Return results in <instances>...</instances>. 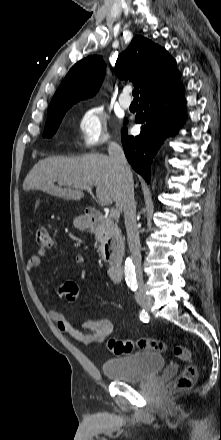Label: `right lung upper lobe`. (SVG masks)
<instances>
[{
	"label": "right lung upper lobe",
	"mask_w": 221,
	"mask_h": 440,
	"mask_svg": "<svg viewBox=\"0 0 221 440\" xmlns=\"http://www.w3.org/2000/svg\"><path fill=\"white\" fill-rule=\"evenodd\" d=\"M116 75L134 82L141 97L156 93L180 79L175 60L164 48L135 36L115 64ZM105 64L100 56H89L77 62L57 89L48 110L72 106L94 95L101 86ZM140 97V98H141Z\"/></svg>",
	"instance_id": "1"
}]
</instances>
